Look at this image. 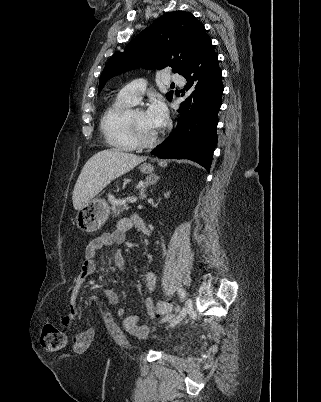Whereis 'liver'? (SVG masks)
Segmentation results:
<instances>
[{"label": "liver", "instance_id": "liver-1", "mask_svg": "<svg viewBox=\"0 0 321 402\" xmlns=\"http://www.w3.org/2000/svg\"><path fill=\"white\" fill-rule=\"evenodd\" d=\"M145 160L119 149H106L93 155L84 165L76 181L72 201L76 210L94 198L112 180L127 173Z\"/></svg>", "mask_w": 321, "mask_h": 402}]
</instances>
